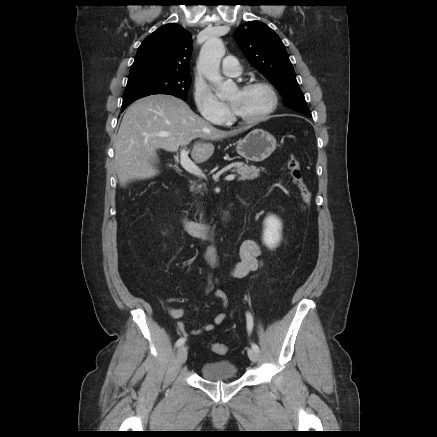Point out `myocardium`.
<instances>
[{
  "instance_id": "f54148a6",
  "label": "myocardium",
  "mask_w": 437,
  "mask_h": 437,
  "mask_svg": "<svg viewBox=\"0 0 437 437\" xmlns=\"http://www.w3.org/2000/svg\"><path fill=\"white\" fill-rule=\"evenodd\" d=\"M254 87L263 88L268 92L270 96V102L268 107L261 114L255 117H242L238 115L233 109L232 119L234 121L244 124H256L267 119L275 111L278 104V96L273 86L268 82L261 81V80L248 81L242 86V88H254Z\"/></svg>"
}]
</instances>
